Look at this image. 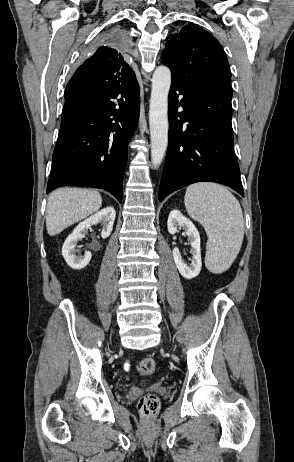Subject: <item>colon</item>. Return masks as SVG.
Wrapping results in <instances>:
<instances>
[{
	"mask_svg": "<svg viewBox=\"0 0 294 462\" xmlns=\"http://www.w3.org/2000/svg\"><path fill=\"white\" fill-rule=\"evenodd\" d=\"M155 369V361L152 358H144L138 364V371L142 376H149ZM159 399L152 395L146 394L142 396L138 402V409L145 417H152L159 409Z\"/></svg>",
	"mask_w": 294,
	"mask_h": 462,
	"instance_id": "obj_1",
	"label": "colon"
}]
</instances>
